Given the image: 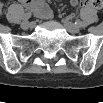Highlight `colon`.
<instances>
[{
    "label": "colon",
    "instance_id": "colon-1",
    "mask_svg": "<svg viewBox=\"0 0 103 103\" xmlns=\"http://www.w3.org/2000/svg\"><path fill=\"white\" fill-rule=\"evenodd\" d=\"M82 5L92 7L95 9H100L102 7V1L101 0H87V1H83Z\"/></svg>",
    "mask_w": 103,
    "mask_h": 103
}]
</instances>
